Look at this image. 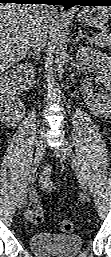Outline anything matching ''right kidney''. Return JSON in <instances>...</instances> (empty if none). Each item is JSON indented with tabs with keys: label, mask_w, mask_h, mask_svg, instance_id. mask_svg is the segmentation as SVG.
Masks as SVG:
<instances>
[{
	"label": "right kidney",
	"mask_w": 111,
	"mask_h": 257,
	"mask_svg": "<svg viewBox=\"0 0 111 257\" xmlns=\"http://www.w3.org/2000/svg\"><path fill=\"white\" fill-rule=\"evenodd\" d=\"M34 71L35 69L31 64L25 63L5 71L1 76V119L5 123H10L11 120H17V117H19L18 113H20L23 106L20 98L14 96L12 88L17 86L18 82L34 77Z\"/></svg>",
	"instance_id": "ca27d5eb"
}]
</instances>
